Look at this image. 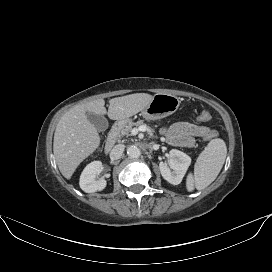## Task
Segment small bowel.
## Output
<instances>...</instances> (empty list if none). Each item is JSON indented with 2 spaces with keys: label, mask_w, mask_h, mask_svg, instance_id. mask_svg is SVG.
<instances>
[{
  "label": "small bowel",
  "mask_w": 272,
  "mask_h": 272,
  "mask_svg": "<svg viewBox=\"0 0 272 272\" xmlns=\"http://www.w3.org/2000/svg\"><path fill=\"white\" fill-rule=\"evenodd\" d=\"M209 129L202 125L177 122L164 130L167 141L174 146L192 147L196 137H205Z\"/></svg>",
  "instance_id": "c3829d8e"
}]
</instances>
